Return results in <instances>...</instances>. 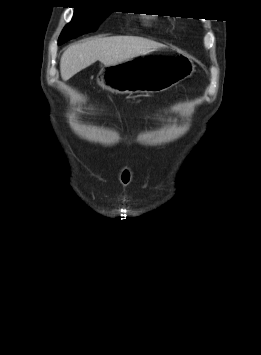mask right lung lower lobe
I'll return each instance as SVG.
<instances>
[{
  "label": "right lung lower lobe",
  "instance_id": "obj_1",
  "mask_svg": "<svg viewBox=\"0 0 261 355\" xmlns=\"http://www.w3.org/2000/svg\"><path fill=\"white\" fill-rule=\"evenodd\" d=\"M69 40H70V39H69ZM66 41H68V39H65V40H59V41H58V44H59V45H61V44H63V43H64V42H66Z\"/></svg>",
  "mask_w": 261,
  "mask_h": 355
}]
</instances>
